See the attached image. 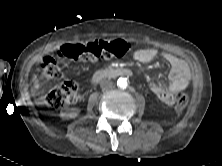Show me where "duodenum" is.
Instances as JSON below:
<instances>
[{"label":"duodenum","mask_w":222,"mask_h":166,"mask_svg":"<svg viewBox=\"0 0 222 166\" xmlns=\"http://www.w3.org/2000/svg\"><path fill=\"white\" fill-rule=\"evenodd\" d=\"M120 75L129 76V75H131V70L126 67H116V68H111V69H107V70L97 71L92 76V84L95 85L106 77L120 76Z\"/></svg>","instance_id":"1"}]
</instances>
